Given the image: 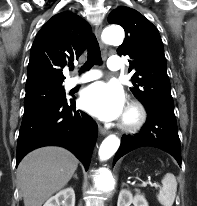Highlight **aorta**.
Here are the masks:
<instances>
[{"label":"aorta","mask_w":197,"mask_h":206,"mask_svg":"<svg viewBox=\"0 0 197 206\" xmlns=\"http://www.w3.org/2000/svg\"><path fill=\"white\" fill-rule=\"evenodd\" d=\"M102 38L106 44L119 45L123 42L124 31L121 27H107L104 29ZM120 146V140L115 135H110L104 139L99 148V158L104 161L111 158ZM115 182L112 174L107 169L100 170V176L97 180L99 190L109 193L114 189Z\"/></svg>","instance_id":"762f6f07"}]
</instances>
